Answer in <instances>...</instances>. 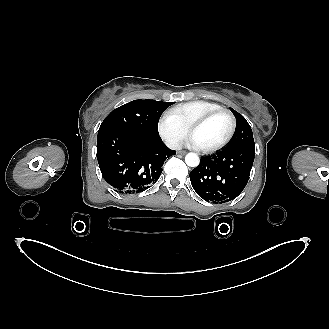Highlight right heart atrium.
<instances>
[{
    "mask_svg": "<svg viewBox=\"0 0 329 329\" xmlns=\"http://www.w3.org/2000/svg\"><path fill=\"white\" fill-rule=\"evenodd\" d=\"M157 130L162 140L172 149L178 148L187 135V128L169 112L159 118Z\"/></svg>",
    "mask_w": 329,
    "mask_h": 329,
    "instance_id": "right-heart-atrium-1",
    "label": "right heart atrium"
}]
</instances>
